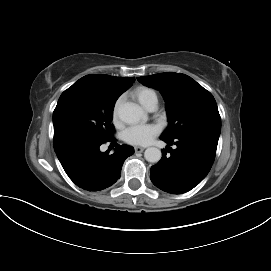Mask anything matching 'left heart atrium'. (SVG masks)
I'll list each match as a JSON object with an SVG mask.
<instances>
[{"mask_svg":"<svg viewBox=\"0 0 271 271\" xmlns=\"http://www.w3.org/2000/svg\"><path fill=\"white\" fill-rule=\"evenodd\" d=\"M159 133V127L151 124H137L128 127L124 133V140L132 145H147Z\"/></svg>","mask_w":271,"mask_h":271,"instance_id":"39dd6f15","label":"left heart atrium"}]
</instances>
